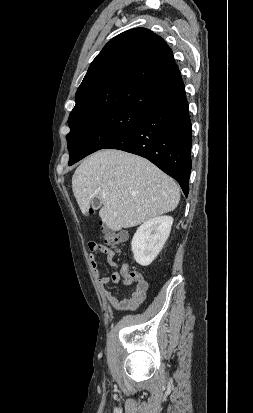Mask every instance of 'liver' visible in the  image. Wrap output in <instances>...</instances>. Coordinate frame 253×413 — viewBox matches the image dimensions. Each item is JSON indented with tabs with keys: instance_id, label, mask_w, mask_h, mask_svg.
<instances>
[{
	"instance_id": "6515ba94",
	"label": "liver",
	"mask_w": 253,
	"mask_h": 413,
	"mask_svg": "<svg viewBox=\"0 0 253 413\" xmlns=\"http://www.w3.org/2000/svg\"><path fill=\"white\" fill-rule=\"evenodd\" d=\"M72 190L85 214L94 198L112 231L130 228L173 211L180 201L176 182L147 159L121 150H100L75 170Z\"/></svg>"
}]
</instances>
